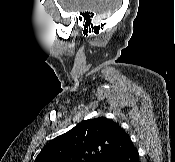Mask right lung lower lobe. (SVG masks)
I'll return each mask as SVG.
<instances>
[{"mask_svg": "<svg viewBox=\"0 0 175 162\" xmlns=\"http://www.w3.org/2000/svg\"><path fill=\"white\" fill-rule=\"evenodd\" d=\"M112 162H139V154L137 149L133 146L128 151L116 156Z\"/></svg>", "mask_w": 175, "mask_h": 162, "instance_id": "obj_1", "label": "right lung lower lobe"}]
</instances>
